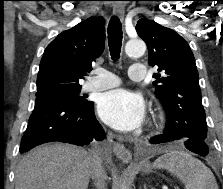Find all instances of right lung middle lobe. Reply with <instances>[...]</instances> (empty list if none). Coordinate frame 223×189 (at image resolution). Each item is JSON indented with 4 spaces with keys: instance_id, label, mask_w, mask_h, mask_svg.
I'll list each match as a JSON object with an SVG mask.
<instances>
[{
    "instance_id": "obj_1",
    "label": "right lung middle lobe",
    "mask_w": 223,
    "mask_h": 189,
    "mask_svg": "<svg viewBox=\"0 0 223 189\" xmlns=\"http://www.w3.org/2000/svg\"><path fill=\"white\" fill-rule=\"evenodd\" d=\"M80 89L81 87L56 88L47 91L37 92L36 99H56L66 101L77 106H84L88 103V101L79 95Z\"/></svg>"
}]
</instances>
